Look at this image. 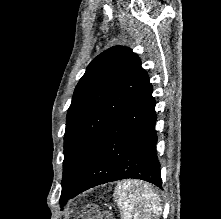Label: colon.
<instances>
[{
  "mask_svg": "<svg viewBox=\"0 0 221 219\" xmlns=\"http://www.w3.org/2000/svg\"><path fill=\"white\" fill-rule=\"evenodd\" d=\"M76 219H115L110 214L99 210L93 205H88L80 210Z\"/></svg>",
  "mask_w": 221,
  "mask_h": 219,
  "instance_id": "colon-1",
  "label": "colon"
}]
</instances>
